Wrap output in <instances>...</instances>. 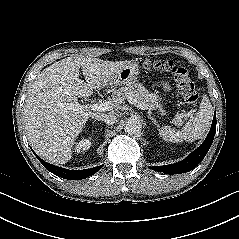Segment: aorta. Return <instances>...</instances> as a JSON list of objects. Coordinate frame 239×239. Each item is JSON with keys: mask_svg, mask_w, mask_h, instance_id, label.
<instances>
[{"mask_svg": "<svg viewBox=\"0 0 239 239\" xmlns=\"http://www.w3.org/2000/svg\"><path fill=\"white\" fill-rule=\"evenodd\" d=\"M124 130L128 134H137L142 130V123L139 119L130 118L125 122Z\"/></svg>", "mask_w": 239, "mask_h": 239, "instance_id": "762f6f07", "label": "aorta"}]
</instances>
